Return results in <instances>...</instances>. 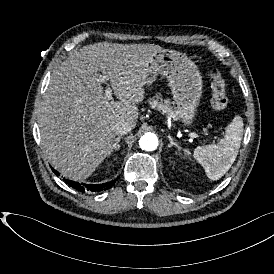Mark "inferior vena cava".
I'll list each match as a JSON object with an SVG mask.
<instances>
[{
  "label": "inferior vena cava",
  "instance_id": "1",
  "mask_svg": "<svg viewBox=\"0 0 274 274\" xmlns=\"http://www.w3.org/2000/svg\"><path fill=\"white\" fill-rule=\"evenodd\" d=\"M134 124L130 121L119 122L115 125V134L123 135L130 132L134 128Z\"/></svg>",
  "mask_w": 274,
  "mask_h": 274
}]
</instances>
